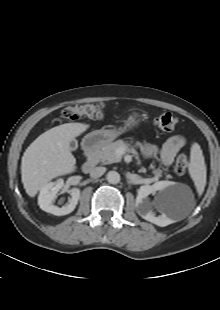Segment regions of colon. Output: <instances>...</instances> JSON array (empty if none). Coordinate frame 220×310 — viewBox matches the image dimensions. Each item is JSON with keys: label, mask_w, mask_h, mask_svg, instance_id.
Segmentation results:
<instances>
[{"label": "colon", "mask_w": 220, "mask_h": 310, "mask_svg": "<svg viewBox=\"0 0 220 310\" xmlns=\"http://www.w3.org/2000/svg\"><path fill=\"white\" fill-rule=\"evenodd\" d=\"M104 112V105L100 102H87L64 108L60 116L66 120H79L81 118H101ZM157 128L163 131H172L177 125V118L170 112L159 114L154 119ZM189 157L185 154L180 155L175 164V172L179 175L184 174L189 167Z\"/></svg>", "instance_id": "obj_1"}]
</instances>
